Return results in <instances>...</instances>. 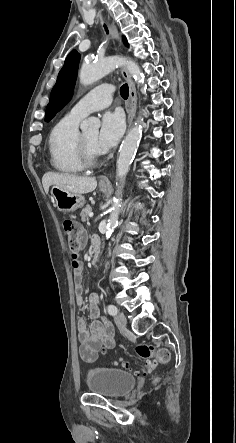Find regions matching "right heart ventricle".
Here are the masks:
<instances>
[{
    "mask_svg": "<svg viewBox=\"0 0 236 443\" xmlns=\"http://www.w3.org/2000/svg\"><path fill=\"white\" fill-rule=\"evenodd\" d=\"M80 120V117L69 113L61 118L50 132L48 139L50 163L59 172L75 174L84 168L77 150Z\"/></svg>",
    "mask_w": 236,
    "mask_h": 443,
    "instance_id": "1",
    "label": "right heart ventricle"
}]
</instances>
